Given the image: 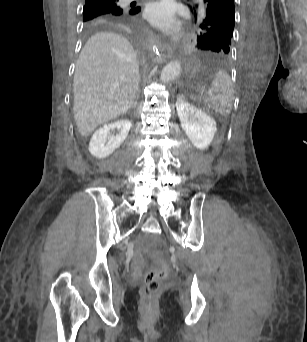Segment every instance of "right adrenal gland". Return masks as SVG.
Instances as JSON below:
<instances>
[{
	"label": "right adrenal gland",
	"instance_id": "2a0ac1e0",
	"mask_svg": "<svg viewBox=\"0 0 307 342\" xmlns=\"http://www.w3.org/2000/svg\"><path fill=\"white\" fill-rule=\"evenodd\" d=\"M131 108H136V104H135V102H132V104H131Z\"/></svg>",
	"mask_w": 307,
	"mask_h": 342
}]
</instances>
